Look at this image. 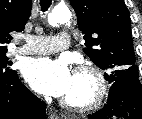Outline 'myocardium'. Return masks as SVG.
I'll use <instances>...</instances> for the list:
<instances>
[{
    "mask_svg": "<svg viewBox=\"0 0 142 119\" xmlns=\"http://www.w3.org/2000/svg\"><path fill=\"white\" fill-rule=\"evenodd\" d=\"M77 75H87L94 82V90L86 102H74L62 98L60 103L63 107L76 112H90L98 109L105 101L108 94V80L104 72L93 64L78 65L74 71Z\"/></svg>",
    "mask_w": 142,
    "mask_h": 119,
    "instance_id": "obj_1",
    "label": "myocardium"
}]
</instances>
